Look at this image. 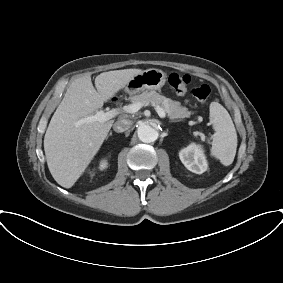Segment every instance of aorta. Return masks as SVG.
Returning <instances> with one entry per match:
<instances>
[{"label": "aorta", "instance_id": "1", "mask_svg": "<svg viewBox=\"0 0 283 283\" xmlns=\"http://www.w3.org/2000/svg\"><path fill=\"white\" fill-rule=\"evenodd\" d=\"M138 138L144 143H151L157 140L158 138V131L148 125L142 124L137 129Z\"/></svg>", "mask_w": 283, "mask_h": 283}]
</instances>
